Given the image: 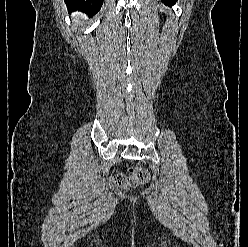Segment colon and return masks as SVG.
Instances as JSON below:
<instances>
[{"label":"colon","mask_w":248,"mask_h":247,"mask_svg":"<svg viewBox=\"0 0 248 247\" xmlns=\"http://www.w3.org/2000/svg\"><path fill=\"white\" fill-rule=\"evenodd\" d=\"M149 172L144 167H131L126 174H117L114 184L120 189H133L149 181Z\"/></svg>","instance_id":"5ec220e1"}]
</instances>
